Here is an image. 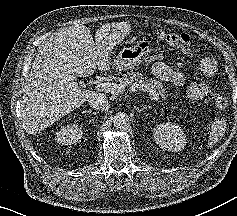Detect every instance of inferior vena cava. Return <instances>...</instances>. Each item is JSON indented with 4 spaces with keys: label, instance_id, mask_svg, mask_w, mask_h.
<instances>
[{
    "label": "inferior vena cava",
    "instance_id": "1",
    "mask_svg": "<svg viewBox=\"0 0 237 216\" xmlns=\"http://www.w3.org/2000/svg\"><path fill=\"white\" fill-rule=\"evenodd\" d=\"M87 101L90 107L95 110L104 112L110 109L109 100L104 93H94Z\"/></svg>",
    "mask_w": 237,
    "mask_h": 216
}]
</instances>
